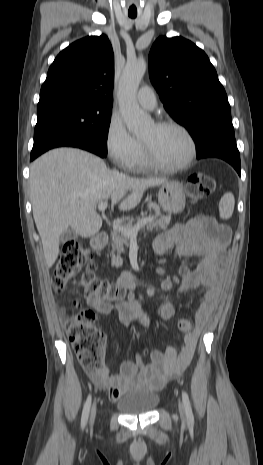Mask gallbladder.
I'll use <instances>...</instances> for the list:
<instances>
[{
    "mask_svg": "<svg viewBox=\"0 0 263 465\" xmlns=\"http://www.w3.org/2000/svg\"><path fill=\"white\" fill-rule=\"evenodd\" d=\"M77 238H78V234L73 229L67 228L63 231L60 240L61 242H66V241L77 239Z\"/></svg>",
    "mask_w": 263,
    "mask_h": 465,
    "instance_id": "1",
    "label": "gallbladder"
}]
</instances>
